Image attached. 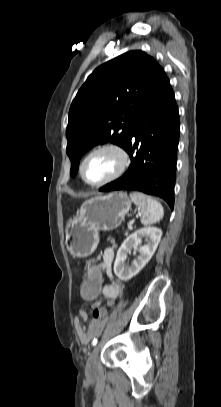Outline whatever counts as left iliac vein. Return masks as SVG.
Returning a JSON list of instances; mask_svg holds the SVG:
<instances>
[{"label": "left iliac vein", "mask_w": 221, "mask_h": 407, "mask_svg": "<svg viewBox=\"0 0 221 407\" xmlns=\"http://www.w3.org/2000/svg\"><path fill=\"white\" fill-rule=\"evenodd\" d=\"M100 346L96 345L89 354L87 365H86V377L88 379L93 378L97 372V359L99 354Z\"/></svg>", "instance_id": "left-iliac-vein-1"}]
</instances>
